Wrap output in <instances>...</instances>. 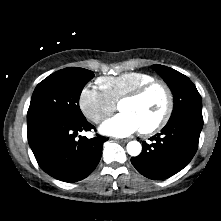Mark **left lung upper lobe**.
Here are the masks:
<instances>
[{"label":"left lung upper lobe","instance_id":"left-lung-upper-lobe-1","mask_svg":"<svg viewBox=\"0 0 221 221\" xmlns=\"http://www.w3.org/2000/svg\"><path fill=\"white\" fill-rule=\"evenodd\" d=\"M152 67L166 81L174 95V108L170 120L187 112L202 113V98L187 76L163 65Z\"/></svg>","mask_w":221,"mask_h":221}]
</instances>
